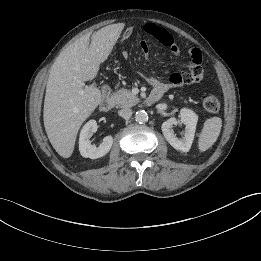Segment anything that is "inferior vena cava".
I'll return each mask as SVG.
<instances>
[{
    "label": "inferior vena cava",
    "mask_w": 261,
    "mask_h": 261,
    "mask_svg": "<svg viewBox=\"0 0 261 261\" xmlns=\"http://www.w3.org/2000/svg\"><path fill=\"white\" fill-rule=\"evenodd\" d=\"M118 114L124 119H129L132 116V110L130 108H124L119 110Z\"/></svg>",
    "instance_id": "602c4592"
}]
</instances>
